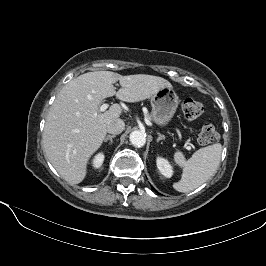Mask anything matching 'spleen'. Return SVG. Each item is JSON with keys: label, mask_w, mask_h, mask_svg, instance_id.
Segmentation results:
<instances>
[{"label": "spleen", "mask_w": 266, "mask_h": 266, "mask_svg": "<svg viewBox=\"0 0 266 266\" xmlns=\"http://www.w3.org/2000/svg\"><path fill=\"white\" fill-rule=\"evenodd\" d=\"M222 146L219 143L197 150L186 160L181 151L174 153V162L183 170L181 179L173 184L178 192L188 193L212 177L219 166Z\"/></svg>", "instance_id": "spleen-1"}]
</instances>
